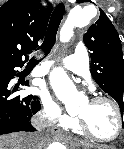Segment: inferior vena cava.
I'll return each instance as SVG.
<instances>
[{
  "instance_id": "1",
  "label": "inferior vena cava",
  "mask_w": 124,
  "mask_h": 149,
  "mask_svg": "<svg viewBox=\"0 0 124 149\" xmlns=\"http://www.w3.org/2000/svg\"><path fill=\"white\" fill-rule=\"evenodd\" d=\"M32 125L38 129L41 130L45 124H44V117L41 113L36 114L32 119H31ZM31 142H29L28 149H37L38 145V139H40V136L38 134H33V136H30Z\"/></svg>"
}]
</instances>
